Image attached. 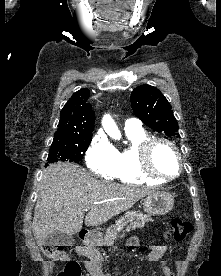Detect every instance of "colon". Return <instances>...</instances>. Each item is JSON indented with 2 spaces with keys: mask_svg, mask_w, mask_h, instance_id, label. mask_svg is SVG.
Instances as JSON below:
<instances>
[{
  "mask_svg": "<svg viewBox=\"0 0 221 276\" xmlns=\"http://www.w3.org/2000/svg\"><path fill=\"white\" fill-rule=\"evenodd\" d=\"M192 225L188 221L180 218H173L170 222L169 237L175 241L184 240L191 232ZM43 253L55 261H66L68 259L66 252L62 246L44 245ZM80 266L77 262L69 261L65 268L57 274V276H80Z\"/></svg>",
  "mask_w": 221,
  "mask_h": 276,
  "instance_id": "colon-1",
  "label": "colon"
}]
</instances>
